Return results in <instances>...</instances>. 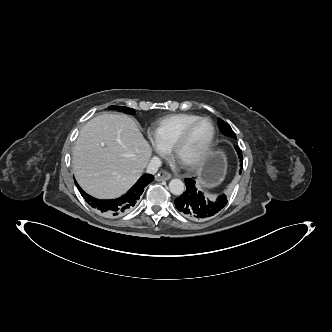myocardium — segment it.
I'll return each instance as SVG.
<instances>
[{"label": "myocardium", "mask_w": 332, "mask_h": 332, "mask_svg": "<svg viewBox=\"0 0 332 332\" xmlns=\"http://www.w3.org/2000/svg\"><path fill=\"white\" fill-rule=\"evenodd\" d=\"M202 121H207L210 124L211 136H210L207 144L205 145V147L201 150V152L193 160H191L187 163H181V165L185 169H188V170H194V169L198 168L202 164V162L205 160L207 155L210 153L211 149L213 148L215 139H216V127H215L213 121L207 117H199V118L193 120L182 130V132L180 133V135L178 136V138L176 139V141L174 142V144L171 148L172 157L177 160L178 153H179L182 145L185 143L189 133L191 132V130L194 128V126L196 124H198L199 122H202Z\"/></svg>", "instance_id": "myocardium-1"}]
</instances>
